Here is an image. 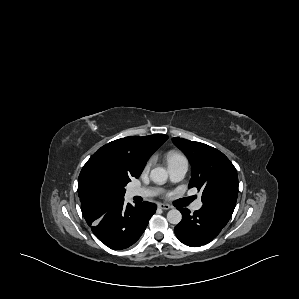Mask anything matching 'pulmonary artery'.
Listing matches in <instances>:
<instances>
[{
    "label": "pulmonary artery",
    "mask_w": 299,
    "mask_h": 299,
    "mask_svg": "<svg viewBox=\"0 0 299 299\" xmlns=\"http://www.w3.org/2000/svg\"><path fill=\"white\" fill-rule=\"evenodd\" d=\"M170 178L173 182H178L182 180L188 170L187 161H180L168 165ZM132 196H142V197H151L158 193L156 189L153 188H134L131 190ZM202 203L200 200H197L192 205V210L197 211L201 208Z\"/></svg>",
    "instance_id": "pulmonary-artery-1"
}]
</instances>
